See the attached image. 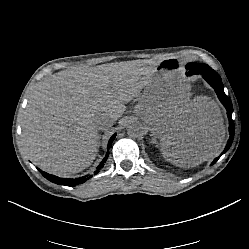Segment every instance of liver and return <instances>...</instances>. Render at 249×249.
Returning <instances> with one entry per match:
<instances>
[{"instance_id":"obj_1","label":"liver","mask_w":249,"mask_h":249,"mask_svg":"<svg viewBox=\"0 0 249 249\" xmlns=\"http://www.w3.org/2000/svg\"><path fill=\"white\" fill-rule=\"evenodd\" d=\"M155 73L153 67L133 63L106 64L74 67L39 82L22 119V143L30 160L52 174L81 172L98 152L95 120L107 114L117 121L134 97V114L161 146H168V161L188 167L213 158L226 135L219 106L206 96L171 99L165 85L139 97Z\"/></svg>"}]
</instances>
